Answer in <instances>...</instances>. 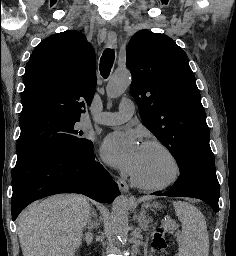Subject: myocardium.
<instances>
[{
    "mask_svg": "<svg viewBox=\"0 0 236 256\" xmlns=\"http://www.w3.org/2000/svg\"><path fill=\"white\" fill-rule=\"evenodd\" d=\"M143 146L156 147V148H159L162 151H164L169 156V158L171 159V161L173 163V166H174L173 175L163 183L156 184V185H148V184H144V183L140 182L132 174H129L130 183L137 189L147 191V192L161 191V190H164V189L172 186L173 184H175L181 177L182 167H181V163H180L178 157L173 152V150L159 140H148V141L144 142Z\"/></svg>",
    "mask_w": 236,
    "mask_h": 256,
    "instance_id": "obj_1",
    "label": "myocardium"
}]
</instances>
